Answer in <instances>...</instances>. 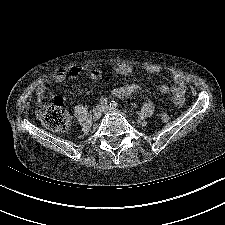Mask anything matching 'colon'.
<instances>
[{"label": "colon", "mask_w": 225, "mask_h": 225, "mask_svg": "<svg viewBox=\"0 0 225 225\" xmlns=\"http://www.w3.org/2000/svg\"><path fill=\"white\" fill-rule=\"evenodd\" d=\"M39 117L43 124L55 131H65L69 127L70 117L63 100L57 99L39 111ZM169 114L164 112L161 121L167 122Z\"/></svg>", "instance_id": "obj_1"}]
</instances>
